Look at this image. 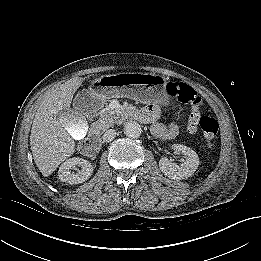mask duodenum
Returning a JSON list of instances; mask_svg holds the SVG:
<instances>
[{"instance_id": "410a0bca", "label": "duodenum", "mask_w": 261, "mask_h": 261, "mask_svg": "<svg viewBox=\"0 0 261 261\" xmlns=\"http://www.w3.org/2000/svg\"><path fill=\"white\" fill-rule=\"evenodd\" d=\"M127 115L130 117H135L138 115L136 110L129 109L126 111ZM101 146L100 137L97 135V133H93L92 136L86 140L85 142H82L79 145V151L81 154L85 156H90L94 154Z\"/></svg>"}]
</instances>
